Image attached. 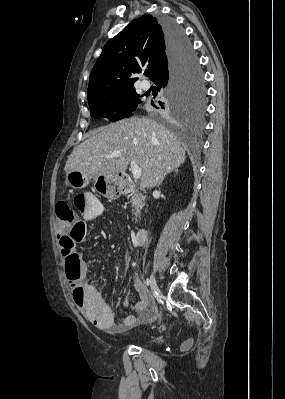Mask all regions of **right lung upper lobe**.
I'll use <instances>...</instances> for the list:
<instances>
[{"mask_svg":"<svg viewBox=\"0 0 285 399\" xmlns=\"http://www.w3.org/2000/svg\"><path fill=\"white\" fill-rule=\"evenodd\" d=\"M168 55L161 22L143 15L112 38L90 74L88 101L133 89L144 66L151 79L167 66Z\"/></svg>","mask_w":285,"mask_h":399,"instance_id":"cb5924a9","label":"right lung upper lobe"}]
</instances>
